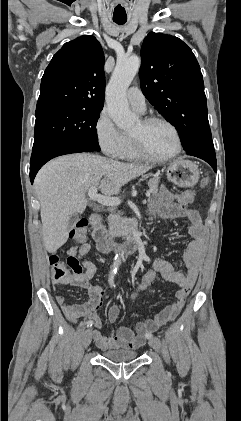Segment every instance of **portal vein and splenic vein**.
Here are the masks:
<instances>
[{"label":"portal vein and splenic vein","mask_w":241,"mask_h":421,"mask_svg":"<svg viewBox=\"0 0 241 421\" xmlns=\"http://www.w3.org/2000/svg\"><path fill=\"white\" fill-rule=\"evenodd\" d=\"M88 195L91 200L97 201L98 203L105 206L114 207L118 206L121 203V200L118 197H110L98 194L96 187H91L88 190ZM146 196H150V192H146Z\"/></svg>","instance_id":"obj_1"}]
</instances>
